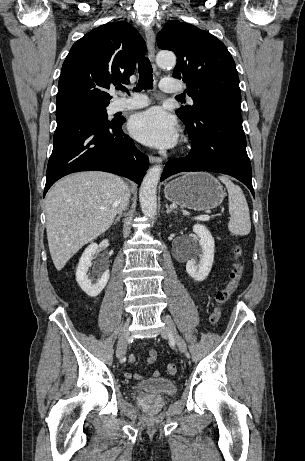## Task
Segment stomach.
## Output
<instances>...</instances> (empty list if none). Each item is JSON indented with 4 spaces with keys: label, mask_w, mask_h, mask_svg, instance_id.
<instances>
[{
    "label": "stomach",
    "mask_w": 305,
    "mask_h": 461,
    "mask_svg": "<svg viewBox=\"0 0 305 461\" xmlns=\"http://www.w3.org/2000/svg\"><path fill=\"white\" fill-rule=\"evenodd\" d=\"M164 194L170 202L196 211L216 208L225 196L219 181L205 172L183 174L165 186Z\"/></svg>",
    "instance_id": "1"
}]
</instances>
